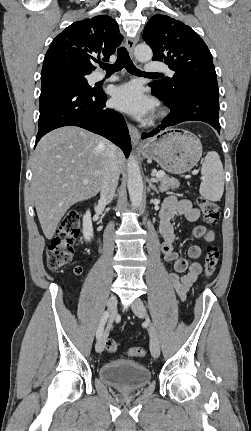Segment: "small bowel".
<instances>
[{
  "label": "small bowel",
  "instance_id": "c3829d8e",
  "mask_svg": "<svg viewBox=\"0 0 251 431\" xmlns=\"http://www.w3.org/2000/svg\"><path fill=\"white\" fill-rule=\"evenodd\" d=\"M175 216H181L190 222H195L200 219V212L192 206L189 200H179L174 196L165 199L160 211L159 229L163 237L161 251L164 260L172 262L174 267V271L169 273L168 279L177 295L184 300L190 287L197 281L202 271V266L197 261L188 263L187 260L179 258L174 251L175 232L172 220ZM194 235L208 242L213 241L215 237L213 231L202 225L194 229ZM188 256L194 260L198 259L201 256V248L197 245L190 246Z\"/></svg>",
  "mask_w": 251,
  "mask_h": 431
}]
</instances>
